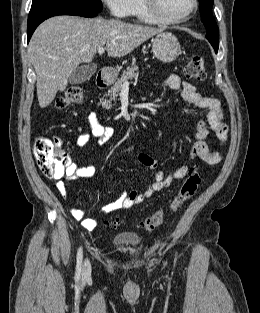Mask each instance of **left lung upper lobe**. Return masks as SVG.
<instances>
[{"label": "left lung upper lobe", "instance_id": "1", "mask_svg": "<svg viewBox=\"0 0 260 313\" xmlns=\"http://www.w3.org/2000/svg\"><path fill=\"white\" fill-rule=\"evenodd\" d=\"M201 4L200 14L202 16V21L206 27L207 34L206 38L211 43L215 51H218L219 47V33L218 27L215 22V19L212 14V6L214 1L213 0H199Z\"/></svg>", "mask_w": 260, "mask_h": 313}]
</instances>
